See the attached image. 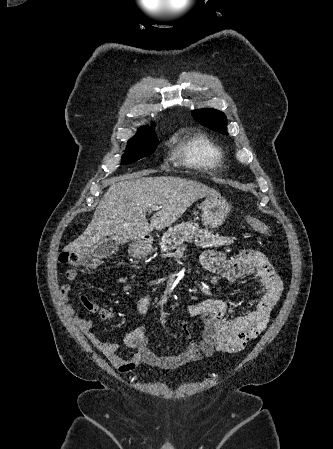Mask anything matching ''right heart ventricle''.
<instances>
[{
    "label": "right heart ventricle",
    "mask_w": 333,
    "mask_h": 449,
    "mask_svg": "<svg viewBox=\"0 0 333 449\" xmlns=\"http://www.w3.org/2000/svg\"><path fill=\"white\" fill-rule=\"evenodd\" d=\"M173 144L174 154L187 165L212 169L221 162L220 148L203 135L182 132L173 138Z\"/></svg>",
    "instance_id": "e07e8e85"
}]
</instances>
